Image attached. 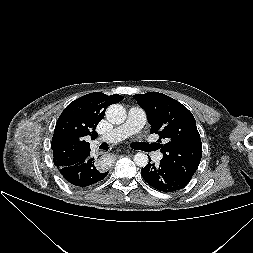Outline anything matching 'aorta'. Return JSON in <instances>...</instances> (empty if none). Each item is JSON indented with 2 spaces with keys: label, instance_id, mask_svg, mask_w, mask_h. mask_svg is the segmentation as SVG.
<instances>
[{
  "label": "aorta",
  "instance_id": "762f6f07",
  "mask_svg": "<svg viewBox=\"0 0 253 253\" xmlns=\"http://www.w3.org/2000/svg\"><path fill=\"white\" fill-rule=\"evenodd\" d=\"M106 118L112 124H122L126 120V110L120 104H112L106 110ZM134 163L139 167L148 164V157L144 153H137L134 156Z\"/></svg>",
  "mask_w": 253,
  "mask_h": 253
}]
</instances>
